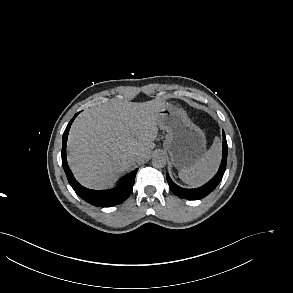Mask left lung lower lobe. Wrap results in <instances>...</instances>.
<instances>
[{
  "mask_svg": "<svg viewBox=\"0 0 293 293\" xmlns=\"http://www.w3.org/2000/svg\"><path fill=\"white\" fill-rule=\"evenodd\" d=\"M227 150H228L227 141H226L225 133L223 131V154H222V161L220 164V168L217 174L205 185L196 189H184L177 186L167 174V181L172 192L181 198L189 199V200H197L207 196L210 192H212L216 188V186L219 184V182L221 181L223 177V174L226 169V163H227V152H228Z\"/></svg>",
  "mask_w": 293,
  "mask_h": 293,
  "instance_id": "left-lung-lower-lobe-1",
  "label": "left lung lower lobe"
}]
</instances>
